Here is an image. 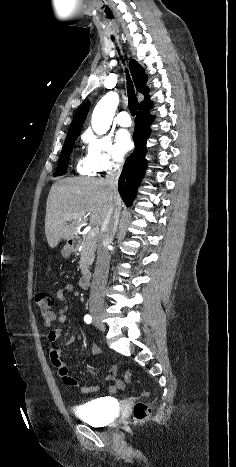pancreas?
I'll use <instances>...</instances> for the list:
<instances>
[{
  "instance_id": "cf45deb5",
  "label": "pancreas",
  "mask_w": 236,
  "mask_h": 467,
  "mask_svg": "<svg viewBox=\"0 0 236 467\" xmlns=\"http://www.w3.org/2000/svg\"><path fill=\"white\" fill-rule=\"evenodd\" d=\"M96 251V239L87 234L82 241L81 257L79 262V268L83 275L89 274V268L94 262Z\"/></svg>"
}]
</instances>
